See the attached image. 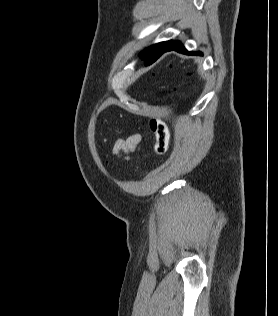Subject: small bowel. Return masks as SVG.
I'll list each match as a JSON object with an SVG mask.
<instances>
[{
    "label": "small bowel",
    "instance_id": "1",
    "mask_svg": "<svg viewBox=\"0 0 278 316\" xmlns=\"http://www.w3.org/2000/svg\"><path fill=\"white\" fill-rule=\"evenodd\" d=\"M141 141L142 135L140 133H134L127 138L118 139L113 145V153L116 156L128 159V155L136 150Z\"/></svg>",
    "mask_w": 278,
    "mask_h": 316
}]
</instances>
